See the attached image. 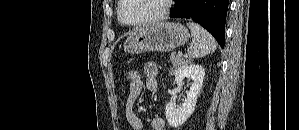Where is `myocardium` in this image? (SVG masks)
Segmentation results:
<instances>
[{
  "label": "myocardium",
  "instance_id": "1",
  "mask_svg": "<svg viewBox=\"0 0 299 130\" xmlns=\"http://www.w3.org/2000/svg\"><path fill=\"white\" fill-rule=\"evenodd\" d=\"M127 0H120L119 1V5H118V9H117V15H118V20L122 25L128 26V27H132V28H140V27H145L151 24H155L157 22L162 21L163 19L166 18V16L169 14L171 6L173 1L172 0H163L164 1V5H163V9L160 13H158L157 15L140 21V22H136V23H127L126 21L123 20L122 17V9L124 4L126 3Z\"/></svg>",
  "mask_w": 299,
  "mask_h": 130
}]
</instances>
